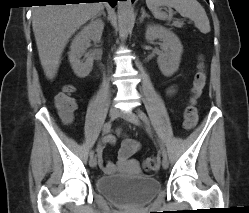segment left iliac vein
<instances>
[{
    "instance_id": "4c4485c4",
    "label": "left iliac vein",
    "mask_w": 249,
    "mask_h": 213,
    "mask_svg": "<svg viewBox=\"0 0 249 213\" xmlns=\"http://www.w3.org/2000/svg\"><path fill=\"white\" fill-rule=\"evenodd\" d=\"M120 116L122 118H124L125 120H127V121H129V122H131V123H133L135 125L139 126L141 124L138 115L133 113V112H130V111L129 112H124V111H122V112H120ZM162 166H163L164 169L168 168L169 160H168L167 157H163Z\"/></svg>"
}]
</instances>
